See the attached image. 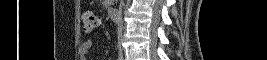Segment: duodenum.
Listing matches in <instances>:
<instances>
[{
	"label": "duodenum",
	"instance_id": "1",
	"mask_svg": "<svg viewBox=\"0 0 267 60\" xmlns=\"http://www.w3.org/2000/svg\"><path fill=\"white\" fill-rule=\"evenodd\" d=\"M118 8L117 7H111L109 10V15L112 20H116L118 18Z\"/></svg>",
	"mask_w": 267,
	"mask_h": 60
}]
</instances>
